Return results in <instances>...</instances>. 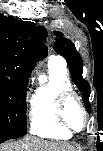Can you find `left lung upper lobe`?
<instances>
[{
    "label": "left lung upper lobe",
    "instance_id": "obj_1",
    "mask_svg": "<svg viewBox=\"0 0 103 151\" xmlns=\"http://www.w3.org/2000/svg\"><path fill=\"white\" fill-rule=\"evenodd\" d=\"M55 35L59 36L60 38H56L54 50L67 60L72 79L76 86L78 87V89L80 90V92L82 93V99L87 111L90 112L91 111V104L89 103L90 85L82 77L83 66L81 56L76 51L74 44L70 40L62 37V33L55 32Z\"/></svg>",
    "mask_w": 103,
    "mask_h": 151
}]
</instances>
